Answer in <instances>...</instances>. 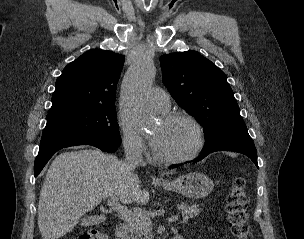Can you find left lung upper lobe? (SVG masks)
<instances>
[{
  "label": "left lung upper lobe",
  "mask_w": 304,
  "mask_h": 239,
  "mask_svg": "<svg viewBox=\"0 0 304 239\" xmlns=\"http://www.w3.org/2000/svg\"><path fill=\"white\" fill-rule=\"evenodd\" d=\"M160 63L171 96L204 127L203 150L253 143L223 71L195 51L162 55Z\"/></svg>",
  "instance_id": "obj_1"
}]
</instances>
